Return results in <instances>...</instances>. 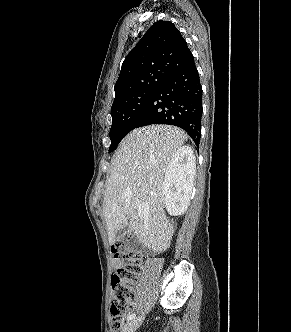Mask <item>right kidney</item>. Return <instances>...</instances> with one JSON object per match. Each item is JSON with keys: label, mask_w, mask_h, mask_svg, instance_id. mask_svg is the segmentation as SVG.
I'll use <instances>...</instances> for the list:
<instances>
[{"label": "right kidney", "mask_w": 291, "mask_h": 332, "mask_svg": "<svg viewBox=\"0 0 291 332\" xmlns=\"http://www.w3.org/2000/svg\"><path fill=\"white\" fill-rule=\"evenodd\" d=\"M195 155L190 146L179 148L167 167L162 187L167 212L178 216L186 212L196 172Z\"/></svg>", "instance_id": "1"}]
</instances>
